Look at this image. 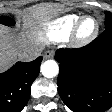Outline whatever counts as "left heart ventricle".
<instances>
[{
  "instance_id": "1",
  "label": "left heart ventricle",
  "mask_w": 112,
  "mask_h": 112,
  "mask_svg": "<svg viewBox=\"0 0 112 112\" xmlns=\"http://www.w3.org/2000/svg\"><path fill=\"white\" fill-rule=\"evenodd\" d=\"M94 28H95V22L92 19H88L82 24L80 29V35L88 36L93 32Z\"/></svg>"
}]
</instances>
